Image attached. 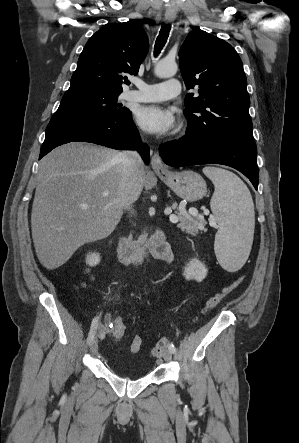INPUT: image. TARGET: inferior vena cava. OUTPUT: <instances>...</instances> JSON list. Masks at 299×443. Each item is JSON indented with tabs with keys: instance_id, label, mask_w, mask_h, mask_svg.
Returning <instances> with one entry per match:
<instances>
[{
	"instance_id": "obj_1",
	"label": "inferior vena cava",
	"mask_w": 299,
	"mask_h": 443,
	"mask_svg": "<svg viewBox=\"0 0 299 443\" xmlns=\"http://www.w3.org/2000/svg\"><path fill=\"white\" fill-rule=\"evenodd\" d=\"M123 164L124 189L121 200L126 209L130 210L131 196L130 191L136 178V172L143 168L141 157L136 151H124L120 154Z\"/></svg>"
}]
</instances>
